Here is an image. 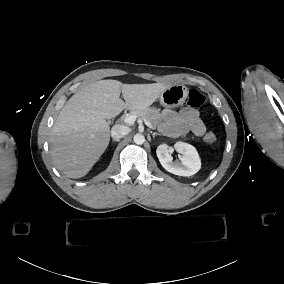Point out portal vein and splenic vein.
<instances>
[{
  "instance_id": "portal-vein-and-splenic-vein-1",
  "label": "portal vein and splenic vein",
  "mask_w": 284,
  "mask_h": 284,
  "mask_svg": "<svg viewBox=\"0 0 284 284\" xmlns=\"http://www.w3.org/2000/svg\"><path fill=\"white\" fill-rule=\"evenodd\" d=\"M135 121H136V116H134V115H128L124 118V123L126 125H132ZM145 124L148 128L154 129V127L152 126V124L149 121H145Z\"/></svg>"
}]
</instances>
